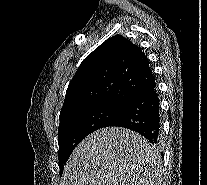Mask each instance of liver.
<instances>
[{"instance_id": "obj_1", "label": "liver", "mask_w": 207, "mask_h": 185, "mask_svg": "<svg viewBox=\"0 0 207 185\" xmlns=\"http://www.w3.org/2000/svg\"><path fill=\"white\" fill-rule=\"evenodd\" d=\"M151 143L123 127H104L85 137L64 167L60 185H147L157 175Z\"/></svg>"}]
</instances>
